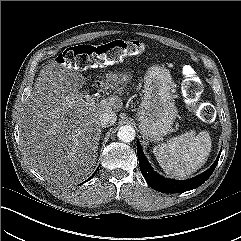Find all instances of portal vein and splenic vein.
I'll return each instance as SVG.
<instances>
[{
	"instance_id": "1",
	"label": "portal vein and splenic vein",
	"mask_w": 241,
	"mask_h": 241,
	"mask_svg": "<svg viewBox=\"0 0 241 241\" xmlns=\"http://www.w3.org/2000/svg\"><path fill=\"white\" fill-rule=\"evenodd\" d=\"M85 97H91V96H89V95H85ZM94 99H96V98H94Z\"/></svg>"
}]
</instances>
